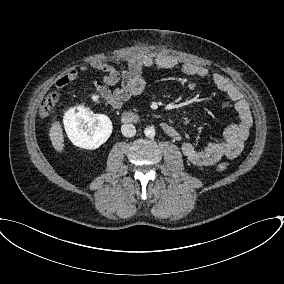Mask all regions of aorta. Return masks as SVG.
<instances>
[{
  "label": "aorta",
  "instance_id": "762f6f07",
  "mask_svg": "<svg viewBox=\"0 0 284 284\" xmlns=\"http://www.w3.org/2000/svg\"><path fill=\"white\" fill-rule=\"evenodd\" d=\"M155 132L156 131H155L153 126L146 127L145 130H144V134L148 138H153L156 134Z\"/></svg>",
  "mask_w": 284,
  "mask_h": 284
}]
</instances>
